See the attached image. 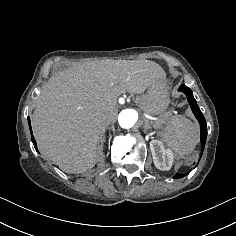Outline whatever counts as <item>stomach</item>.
<instances>
[{
  "instance_id": "1",
  "label": "stomach",
  "mask_w": 236,
  "mask_h": 236,
  "mask_svg": "<svg viewBox=\"0 0 236 236\" xmlns=\"http://www.w3.org/2000/svg\"><path fill=\"white\" fill-rule=\"evenodd\" d=\"M169 103V91L166 83L162 81H156L150 85L142 96V107L151 114L164 112Z\"/></svg>"
}]
</instances>
